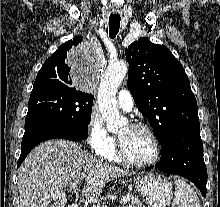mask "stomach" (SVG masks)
<instances>
[{
	"mask_svg": "<svg viewBox=\"0 0 220 207\" xmlns=\"http://www.w3.org/2000/svg\"><path fill=\"white\" fill-rule=\"evenodd\" d=\"M143 201L151 207H167L172 200V185L159 174H146L133 180Z\"/></svg>",
	"mask_w": 220,
	"mask_h": 207,
	"instance_id": "0dacf381",
	"label": "stomach"
}]
</instances>
